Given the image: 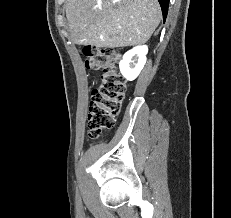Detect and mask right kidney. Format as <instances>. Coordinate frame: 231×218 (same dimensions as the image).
<instances>
[{
    "mask_svg": "<svg viewBox=\"0 0 231 218\" xmlns=\"http://www.w3.org/2000/svg\"><path fill=\"white\" fill-rule=\"evenodd\" d=\"M148 47L137 46L126 52L119 63L120 71L127 80H134L146 63Z\"/></svg>",
    "mask_w": 231,
    "mask_h": 218,
    "instance_id": "right-kidney-1",
    "label": "right kidney"
}]
</instances>
